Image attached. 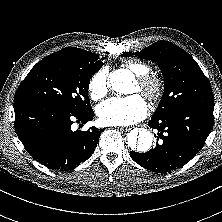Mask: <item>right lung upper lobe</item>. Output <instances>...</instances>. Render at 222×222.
<instances>
[{"instance_id":"obj_1","label":"right lung upper lobe","mask_w":222,"mask_h":222,"mask_svg":"<svg viewBox=\"0 0 222 222\" xmlns=\"http://www.w3.org/2000/svg\"><path fill=\"white\" fill-rule=\"evenodd\" d=\"M95 56L98 55L83 49L67 47L45 57L44 59L83 60L94 58Z\"/></svg>"}]
</instances>
